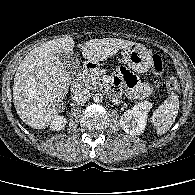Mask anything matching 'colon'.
<instances>
[{"label": "colon", "mask_w": 195, "mask_h": 195, "mask_svg": "<svg viewBox=\"0 0 195 195\" xmlns=\"http://www.w3.org/2000/svg\"><path fill=\"white\" fill-rule=\"evenodd\" d=\"M164 70V62L160 55L152 56V71L156 74L162 73ZM167 89L172 93H177L180 90V84L175 77L168 78L166 82Z\"/></svg>", "instance_id": "1"}]
</instances>
